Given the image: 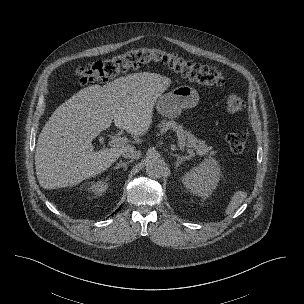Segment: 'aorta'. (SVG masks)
<instances>
[{"label": "aorta", "mask_w": 304, "mask_h": 304, "mask_svg": "<svg viewBox=\"0 0 304 304\" xmlns=\"http://www.w3.org/2000/svg\"><path fill=\"white\" fill-rule=\"evenodd\" d=\"M166 169L165 162L159 158H151L146 163V173L151 178H160Z\"/></svg>", "instance_id": "762f6f07"}]
</instances>
